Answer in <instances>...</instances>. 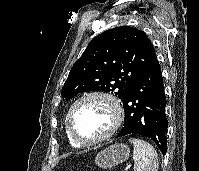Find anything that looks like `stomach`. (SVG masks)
<instances>
[{"mask_svg":"<svg viewBox=\"0 0 199 171\" xmlns=\"http://www.w3.org/2000/svg\"><path fill=\"white\" fill-rule=\"evenodd\" d=\"M129 154L130 150L127 145L122 143L114 144L99 152L95 157V163L100 168H111L127 160Z\"/></svg>","mask_w":199,"mask_h":171,"instance_id":"stomach-1","label":"stomach"}]
</instances>
